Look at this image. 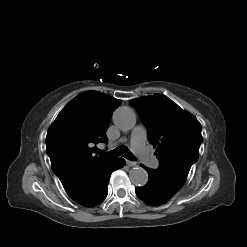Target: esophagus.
<instances>
[{
	"mask_svg": "<svg viewBox=\"0 0 247 247\" xmlns=\"http://www.w3.org/2000/svg\"><path fill=\"white\" fill-rule=\"evenodd\" d=\"M126 164L128 166H135L137 163L135 161H131V160H126Z\"/></svg>",
	"mask_w": 247,
	"mask_h": 247,
	"instance_id": "34e87169",
	"label": "esophagus"
}]
</instances>
